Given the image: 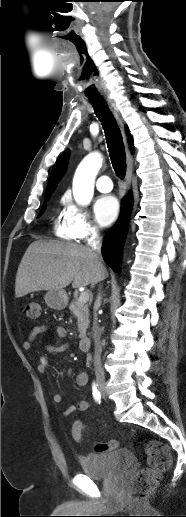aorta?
<instances>
[{
	"label": "aorta",
	"instance_id": "aorta-1",
	"mask_svg": "<svg viewBox=\"0 0 186 517\" xmlns=\"http://www.w3.org/2000/svg\"><path fill=\"white\" fill-rule=\"evenodd\" d=\"M103 156L99 152L88 154L79 164L73 178V196L80 205H88L94 194L96 175L102 165Z\"/></svg>",
	"mask_w": 186,
	"mask_h": 517
}]
</instances>
